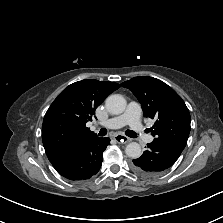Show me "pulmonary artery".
I'll list each match as a JSON object with an SVG mask.
<instances>
[{
	"mask_svg": "<svg viewBox=\"0 0 223 223\" xmlns=\"http://www.w3.org/2000/svg\"><path fill=\"white\" fill-rule=\"evenodd\" d=\"M140 117V105L136 102H130L126 111L122 115L110 118L100 123V126L110 129H117L125 125H129L137 134H139L144 142L150 143L152 142L153 137L144 132Z\"/></svg>",
	"mask_w": 223,
	"mask_h": 223,
	"instance_id": "1",
	"label": "pulmonary artery"
}]
</instances>
